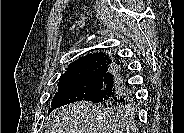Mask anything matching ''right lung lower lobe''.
<instances>
[{
	"mask_svg": "<svg viewBox=\"0 0 184 133\" xmlns=\"http://www.w3.org/2000/svg\"><path fill=\"white\" fill-rule=\"evenodd\" d=\"M104 87L91 101L93 104L111 103L116 105L133 103L131 87L126 82L125 68L114 58L109 70L103 75Z\"/></svg>",
	"mask_w": 184,
	"mask_h": 133,
	"instance_id": "1",
	"label": "right lung lower lobe"
}]
</instances>
